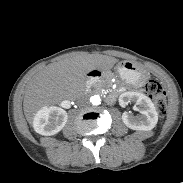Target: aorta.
Here are the masks:
<instances>
[{
    "mask_svg": "<svg viewBox=\"0 0 183 183\" xmlns=\"http://www.w3.org/2000/svg\"><path fill=\"white\" fill-rule=\"evenodd\" d=\"M90 102L93 105H100L101 104V98L98 95H94L90 98Z\"/></svg>",
    "mask_w": 183,
    "mask_h": 183,
    "instance_id": "aorta-1",
    "label": "aorta"
}]
</instances>
